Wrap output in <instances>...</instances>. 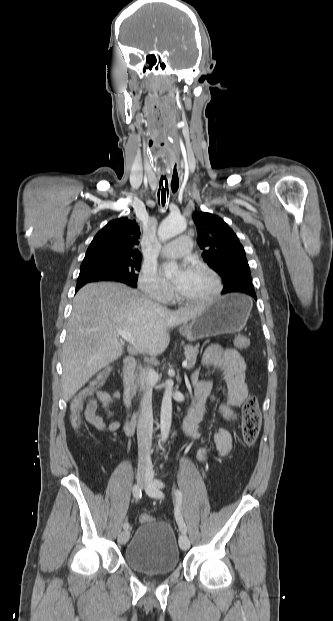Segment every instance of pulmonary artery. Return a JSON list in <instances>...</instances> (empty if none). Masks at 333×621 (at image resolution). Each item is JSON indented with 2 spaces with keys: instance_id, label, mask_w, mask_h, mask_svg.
Returning <instances> with one entry per match:
<instances>
[{
  "instance_id": "1",
  "label": "pulmonary artery",
  "mask_w": 333,
  "mask_h": 621,
  "mask_svg": "<svg viewBox=\"0 0 333 621\" xmlns=\"http://www.w3.org/2000/svg\"><path fill=\"white\" fill-rule=\"evenodd\" d=\"M191 249V238L186 235H182L176 240L165 244L162 248V254L166 257H182L189 255Z\"/></svg>"
}]
</instances>
